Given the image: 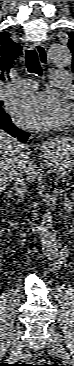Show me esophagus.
I'll return each instance as SVG.
<instances>
[{"label": "esophagus", "mask_w": 74, "mask_h": 366, "mask_svg": "<svg viewBox=\"0 0 74 366\" xmlns=\"http://www.w3.org/2000/svg\"><path fill=\"white\" fill-rule=\"evenodd\" d=\"M32 48L37 52L41 63L45 64L48 62L47 51L44 45H42L41 43H35L32 45ZM41 150L43 152V155L45 156L49 149L47 145L44 144L41 146Z\"/></svg>", "instance_id": "1"}]
</instances>
